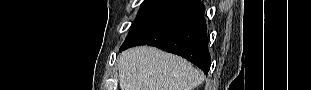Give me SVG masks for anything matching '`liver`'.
<instances>
[{"label": "liver", "instance_id": "obj_1", "mask_svg": "<svg viewBox=\"0 0 311 90\" xmlns=\"http://www.w3.org/2000/svg\"><path fill=\"white\" fill-rule=\"evenodd\" d=\"M118 69L121 90H193L201 79L184 58L148 46L123 52Z\"/></svg>", "mask_w": 311, "mask_h": 90}]
</instances>
